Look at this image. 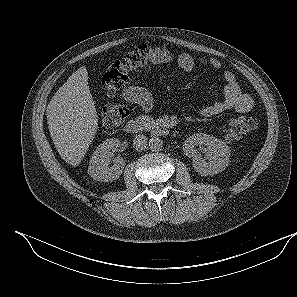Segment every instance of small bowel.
<instances>
[{
  "label": "small bowel",
  "instance_id": "obj_1",
  "mask_svg": "<svg viewBox=\"0 0 297 297\" xmlns=\"http://www.w3.org/2000/svg\"><path fill=\"white\" fill-rule=\"evenodd\" d=\"M149 60L152 64L176 63L182 71L187 73L191 72L196 64L195 60L188 54H174L170 50L161 47L150 49ZM201 63L216 70L222 69L221 61L213 57L203 58ZM223 79L225 82L223 99L201 109L202 116L212 117L227 110L246 113L252 109L253 100L250 95L241 90L235 75L230 71H224ZM122 96L126 101L138 104L145 112L149 111L153 106L150 92L139 86L127 85L122 92Z\"/></svg>",
  "mask_w": 297,
  "mask_h": 297
}]
</instances>
